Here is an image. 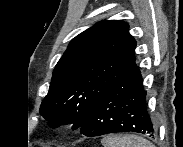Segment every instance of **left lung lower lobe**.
I'll return each mask as SVG.
<instances>
[{"label": "left lung lower lobe", "instance_id": "0a47b994", "mask_svg": "<svg viewBox=\"0 0 183 147\" xmlns=\"http://www.w3.org/2000/svg\"><path fill=\"white\" fill-rule=\"evenodd\" d=\"M80 132L88 137L117 132L155 135L156 127L147 111L146 91L137 65L100 97Z\"/></svg>", "mask_w": 183, "mask_h": 147}]
</instances>
